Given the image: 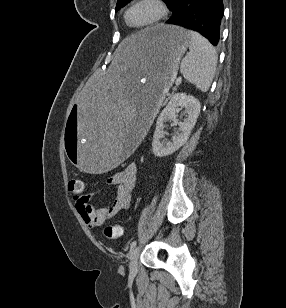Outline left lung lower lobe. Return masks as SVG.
Instances as JSON below:
<instances>
[{
  "label": "left lung lower lobe",
  "mask_w": 286,
  "mask_h": 308,
  "mask_svg": "<svg viewBox=\"0 0 286 308\" xmlns=\"http://www.w3.org/2000/svg\"><path fill=\"white\" fill-rule=\"evenodd\" d=\"M169 9L173 14L167 24L195 30L213 45L218 44L223 16L222 0H173Z\"/></svg>",
  "instance_id": "1"
}]
</instances>
